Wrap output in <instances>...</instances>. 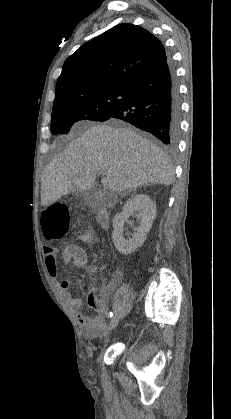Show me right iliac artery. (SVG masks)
<instances>
[{"instance_id":"82829eb1","label":"right iliac artery","mask_w":231,"mask_h":419,"mask_svg":"<svg viewBox=\"0 0 231 419\" xmlns=\"http://www.w3.org/2000/svg\"><path fill=\"white\" fill-rule=\"evenodd\" d=\"M113 316V313L112 312H109L108 314H107V317L108 318H111Z\"/></svg>"}]
</instances>
